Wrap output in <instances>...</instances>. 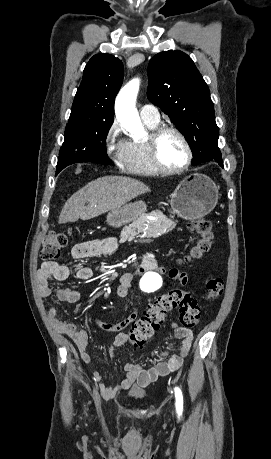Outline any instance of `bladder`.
I'll return each mask as SVG.
<instances>
[{
    "mask_svg": "<svg viewBox=\"0 0 271 459\" xmlns=\"http://www.w3.org/2000/svg\"><path fill=\"white\" fill-rule=\"evenodd\" d=\"M130 395L138 398V399H142L143 395H144V391L142 390H134V391H131L130 392Z\"/></svg>",
    "mask_w": 271,
    "mask_h": 459,
    "instance_id": "bladder-1",
    "label": "bladder"
}]
</instances>
